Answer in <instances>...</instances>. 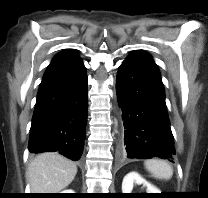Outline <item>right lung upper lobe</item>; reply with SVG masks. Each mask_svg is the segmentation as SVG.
Here are the masks:
<instances>
[{
    "instance_id": "1",
    "label": "right lung upper lobe",
    "mask_w": 208,
    "mask_h": 198,
    "mask_svg": "<svg viewBox=\"0 0 208 198\" xmlns=\"http://www.w3.org/2000/svg\"><path fill=\"white\" fill-rule=\"evenodd\" d=\"M80 61L81 59L79 58L76 50L65 49L53 58L44 74L43 79L69 69Z\"/></svg>"
}]
</instances>
